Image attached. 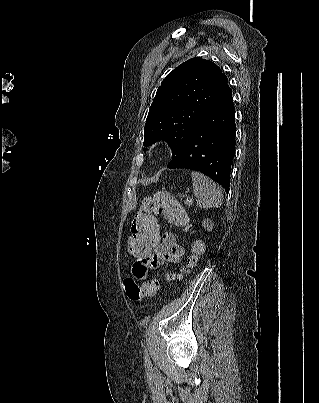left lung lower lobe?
Returning a JSON list of instances; mask_svg holds the SVG:
<instances>
[{
    "instance_id": "0a47b994",
    "label": "left lung lower lobe",
    "mask_w": 319,
    "mask_h": 403,
    "mask_svg": "<svg viewBox=\"0 0 319 403\" xmlns=\"http://www.w3.org/2000/svg\"><path fill=\"white\" fill-rule=\"evenodd\" d=\"M235 128V108L226 83L194 127L184 149L167 168L199 171L229 191Z\"/></svg>"
}]
</instances>
